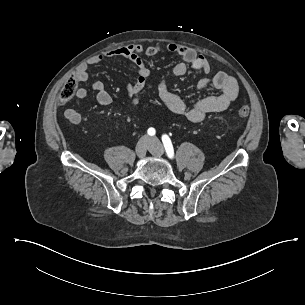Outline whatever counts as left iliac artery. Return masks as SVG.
Here are the masks:
<instances>
[{
    "instance_id": "44dca946",
    "label": "left iliac artery",
    "mask_w": 305,
    "mask_h": 305,
    "mask_svg": "<svg viewBox=\"0 0 305 305\" xmlns=\"http://www.w3.org/2000/svg\"><path fill=\"white\" fill-rule=\"evenodd\" d=\"M162 142L164 144V147H165V150H166V153H167L168 157L172 158L173 155H174V150H173V146H172L170 138L167 135H163L162 136Z\"/></svg>"
}]
</instances>
